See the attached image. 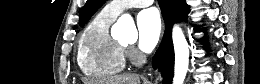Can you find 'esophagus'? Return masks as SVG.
Wrapping results in <instances>:
<instances>
[{"label": "esophagus", "mask_w": 260, "mask_h": 84, "mask_svg": "<svg viewBox=\"0 0 260 84\" xmlns=\"http://www.w3.org/2000/svg\"><path fill=\"white\" fill-rule=\"evenodd\" d=\"M163 31H164V24H163ZM156 74L158 75V71H156Z\"/></svg>", "instance_id": "esophagus-1"}]
</instances>
